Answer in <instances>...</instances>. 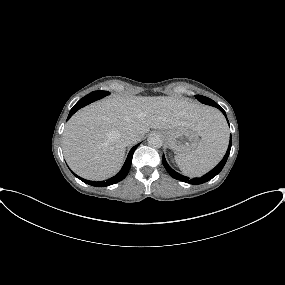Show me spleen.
I'll use <instances>...</instances> for the list:
<instances>
[{
	"label": "spleen",
	"mask_w": 285,
	"mask_h": 285,
	"mask_svg": "<svg viewBox=\"0 0 285 285\" xmlns=\"http://www.w3.org/2000/svg\"><path fill=\"white\" fill-rule=\"evenodd\" d=\"M229 143V130L222 116L216 121L212 133L203 137L196 149L189 154L175 155L180 170L187 176L198 177L213 167L223 158Z\"/></svg>",
	"instance_id": "spleen-1"
}]
</instances>
